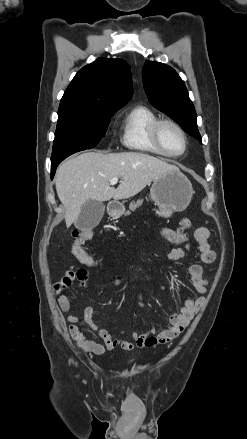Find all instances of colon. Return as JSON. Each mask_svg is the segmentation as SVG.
<instances>
[{"instance_id": "1", "label": "colon", "mask_w": 247, "mask_h": 439, "mask_svg": "<svg viewBox=\"0 0 247 439\" xmlns=\"http://www.w3.org/2000/svg\"><path fill=\"white\" fill-rule=\"evenodd\" d=\"M191 226V221L189 219H182L179 225V231L185 232ZM93 237V233L89 229H76L72 233V245L71 250L73 255L78 259L80 263L87 267H94V259L83 249V245L90 241ZM77 278L84 285L88 278V271L84 268H77L74 272Z\"/></svg>"}]
</instances>
